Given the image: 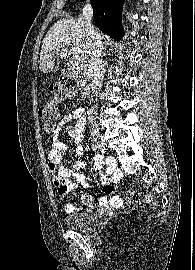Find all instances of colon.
Returning <instances> with one entry per match:
<instances>
[{
	"label": "colon",
	"mask_w": 195,
	"mask_h": 270,
	"mask_svg": "<svg viewBox=\"0 0 195 270\" xmlns=\"http://www.w3.org/2000/svg\"><path fill=\"white\" fill-rule=\"evenodd\" d=\"M80 88V80L76 77H64L55 87V95L52 99L44 102L39 107V115L46 121L44 131L53 135L56 130L55 120L59 116L58 103L74 96ZM125 199L131 205H137L142 201V195L137 190H129ZM145 201L149 204L154 203V198L150 195L145 196Z\"/></svg>",
	"instance_id": "obj_1"
}]
</instances>
